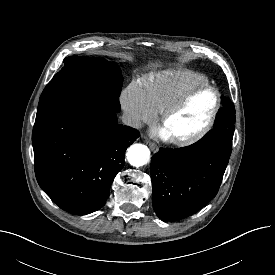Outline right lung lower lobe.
Instances as JSON below:
<instances>
[{
  "label": "right lung lower lobe",
  "mask_w": 275,
  "mask_h": 275,
  "mask_svg": "<svg viewBox=\"0 0 275 275\" xmlns=\"http://www.w3.org/2000/svg\"><path fill=\"white\" fill-rule=\"evenodd\" d=\"M116 113L74 103L35 122L36 178L61 209L83 215L105 204L127 147L140 136L136 129L118 124Z\"/></svg>",
  "instance_id": "right-lung-lower-lobe-1"
}]
</instances>
